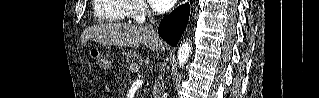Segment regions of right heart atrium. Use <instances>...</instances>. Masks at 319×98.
Masks as SVG:
<instances>
[{"mask_svg":"<svg viewBox=\"0 0 319 98\" xmlns=\"http://www.w3.org/2000/svg\"><path fill=\"white\" fill-rule=\"evenodd\" d=\"M148 13L147 7L143 2H139L133 6L132 13L134 17H140Z\"/></svg>","mask_w":319,"mask_h":98,"instance_id":"1","label":"right heart atrium"}]
</instances>
